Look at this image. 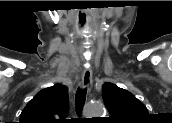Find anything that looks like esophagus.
Instances as JSON below:
<instances>
[{
  "label": "esophagus",
  "mask_w": 172,
  "mask_h": 123,
  "mask_svg": "<svg viewBox=\"0 0 172 123\" xmlns=\"http://www.w3.org/2000/svg\"><path fill=\"white\" fill-rule=\"evenodd\" d=\"M81 84L83 88H87L88 90L91 89L92 87V70L91 69L88 68L83 71Z\"/></svg>",
  "instance_id": "1"
}]
</instances>
